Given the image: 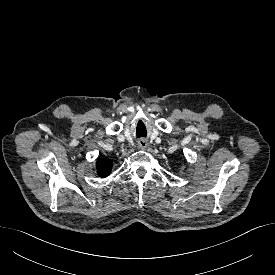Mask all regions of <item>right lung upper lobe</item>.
Masks as SVG:
<instances>
[{
    "label": "right lung upper lobe",
    "mask_w": 275,
    "mask_h": 275,
    "mask_svg": "<svg viewBox=\"0 0 275 275\" xmlns=\"http://www.w3.org/2000/svg\"><path fill=\"white\" fill-rule=\"evenodd\" d=\"M113 162L103 158H99L96 162L97 174L106 177L111 173Z\"/></svg>",
    "instance_id": "cb5924a9"
}]
</instances>
